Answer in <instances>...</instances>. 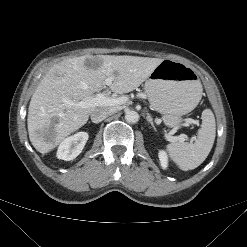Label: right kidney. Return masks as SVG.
I'll return each mask as SVG.
<instances>
[{
    "label": "right kidney",
    "instance_id": "1",
    "mask_svg": "<svg viewBox=\"0 0 247 247\" xmlns=\"http://www.w3.org/2000/svg\"><path fill=\"white\" fill-rule=\"evenodd\" d=\"M87 140L86 132H78L65 138L58 147L57 157L65 161L75 159L82 152Z\"/></svg>",
    "mask_w": 247,
    "mask_h": 247
}]
</instances>
